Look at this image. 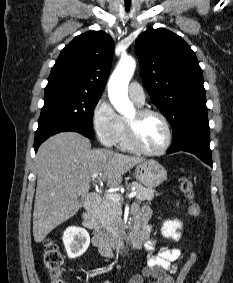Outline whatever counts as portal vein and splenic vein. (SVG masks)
<instances>
[{
  "label": "portal vein and splenic vein",
  "instance_id": "portal-vein-and-splenic-vein-1",
  "mask_svg": "<svg viewBox=\"0 0 233 283\" xmlns=\"http://www.w3.org/2000/svg\"><path fill=\"white\" fill-rule=\"evenodd\" d=\"M99 175V173H93L92 175V179H95L97 176ZM136 191H132L131 193L128 194V198H133L136 196ZM106 196H108L111 200L115 201V202H119L122 198L120 195L118 194H114V193H109L106 194Z\"/></svg>",
  "mask_w": 233,
  "mask_h": 283
}]
</instances>
